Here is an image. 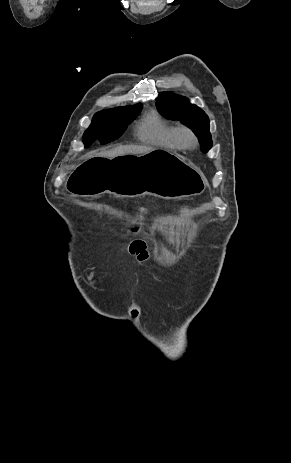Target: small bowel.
<instances>
[{
    "label": "small bowel",
    "instance_id": "1",
    "mask_svg": "<svg viewBox=\"0 0 291 463\" xmlns=\"http://www.w3.org/2000/svg\"><path fill=\"white\" fill-rule=\"evenodd\" d=\"M132 239L128 244V251L135 256L138 262L144 263L149 258V251L146 241L141 235V228L136 226L132 230Z\"/></svg>",
    "mask_w": 291,
    "mask_h": 463
}]
</instances>
